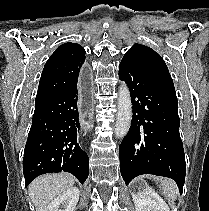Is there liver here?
Wrapping results in <instances>:
<instances>
[{"mask_svg":"<svg viewBox=\"0 0 209 211\" xmlns=\"http://www.w3.org/2000/svg\"><path fill=\"white\" fill-rule=\"evenodd\" d=\"M75 178L68 173L46 174L29 186V196L35 211H45L50 202L74 185Z\"/></svg>","mask_w":209,"mask_h":211,"instance_id":"liver-1","label":"liver"}]
</instances>
